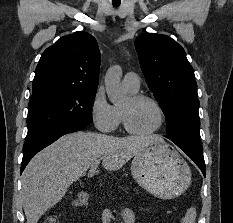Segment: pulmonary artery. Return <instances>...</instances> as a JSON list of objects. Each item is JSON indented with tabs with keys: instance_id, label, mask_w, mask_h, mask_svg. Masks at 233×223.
<instances>
[{
	"instance_id": "obj_1",
	"label": "pulmonary artery",
	"mask_w": 233,
	"mask_h": 223,
	"mask_svg": "<svg viewBox=\"0 0 233 223\" xmlns=\"http://www.w3.org/2000/svg\"><path fill=\"white\" fill-rule=\"evenodd\" d=\"M123 87L132 92L138 91L140 87V77L135 72H127L122 80Z\"/></svg>"
}]
</instances>
